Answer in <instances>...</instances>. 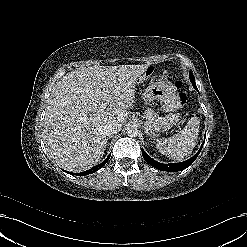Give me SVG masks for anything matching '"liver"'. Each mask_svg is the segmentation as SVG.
<instances>
[{"instance_id":"1","label":"liver","mask_w":247,"mask_h":247,"mask_svg":"<svg viewBox=\"0 0 247 247\" xmlns=\"http://www.w3.org/2000/svg\"><path fill=\"white\" fill-rule=\"evenodd\" d=\"M148 66L83 67L57 82L43 120L49 158L75 172L98 163L106 148L105 125L126 122L127 109L135 103L136 80Z\"/></svg>"}]
</instances>
